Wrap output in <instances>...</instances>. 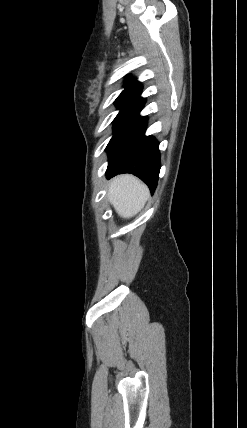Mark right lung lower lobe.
Returning a JSON list of instances; mask_svg holds the SVG:
<instances>
[{
  "mask_svg": "<svg viewBox=\"0 0 247 428\" xmlns=\"http://www.w3.org/2000/svg\"><path fill=\"white\" fill-rule=\"evenodd\" d=\"M145 99L138 97L115 120V132L106 151L109 154L107 178L132 173L143 180L153 194L160 171L159 144L153 136H145L146 117L139 112Z\"/></svg>",
  "mask_w": 247,
  "mask_h": 428,
  "instance_id": "right-lung-lower-lobe-1",
  "label": "right lung lower lobe"
}]
</instances>
